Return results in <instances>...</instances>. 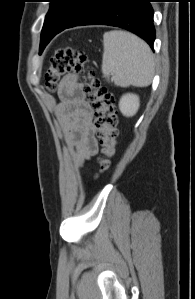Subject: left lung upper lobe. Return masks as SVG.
<instances>
[{
  "label": "left lung upper lobe",
  "instance_id": "5c2ea615",
  "mask_svg": "<svg viewBox=\"0 0 195 299\" xmlns=\"http://www.w3.org/2000/svg\"><path fill=\"white\" fill-rule=\"evenodd\" d=\"M88 0H50L51 6L46 15L41 32L40 53L50 41L53 30L68 26L83 10Z\"/></svg>",
  "mask_w": 195,
  "mask_h": 299
}]
</instances>
